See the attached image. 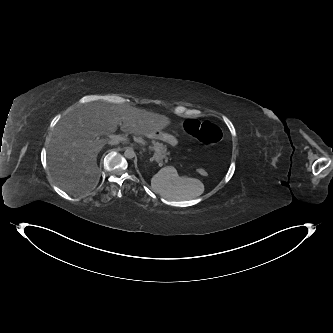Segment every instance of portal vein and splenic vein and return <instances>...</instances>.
Segmentation results:
<instances>
[{"label":"portal vein and splenic vein","mask_w":333,"mask_h":333,"mask_svg":"<svg viewBox=\"0 0 333 333\" xmlns=\"http://www.w3.org/2000/svg\"><path fill=\"white\" fill-rule=\"evenodd\" d=\"M126 139H127V138H126L125 136H122V135H111V136H110V141H113V142H120V141H124V140H126ZM151 161H156V162H158L159 166H162V165H163V163L160 162V161L158 160V158H157L155 155H153V157L151 158Z\"/></svg>","instance_id":"1"}]
</instances>
